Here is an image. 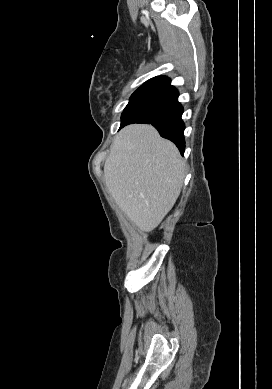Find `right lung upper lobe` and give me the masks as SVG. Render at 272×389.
Wrapping results in <instances>:
<instances>
[{"label":"right lung upper lobe","instance_id":"1","mask_svg":"<svg viewBox=\"0 0 272 389\" xmlns=\"http://www.w3.org/2000/svg\"><path fill=\"white\" fill-rule=\"evenodd\" d=\"M170 82H171V80L168 77L158 76V77H154V78L148 80L144 84H152V85H158L160 87H165V86L170 85Z\"/></svg>","mask_w":272,"mask_h":389}]
</instances>
